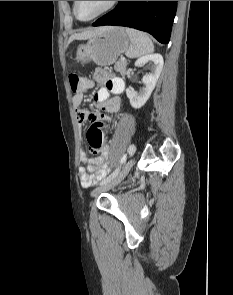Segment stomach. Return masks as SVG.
<instances>
[{
    "label": "stomach",
    "instance_id": "1",
    "mask_svg": "<svg viewBox=\"0 0 233 295\" xmlns=\"http://www.w3.org/2000/svg\"><path fill=\"white\" fill-rule=\"evenodd\" d=\"M130 37L123 27H105V29L88 39L87 43L76 48V60L81 63L93 61L100 66H108L127 51Z\"/></svg>",
    "mask_w": 233,
    "mask_h": 295
}]
</instances>
